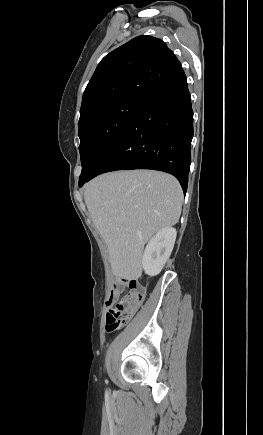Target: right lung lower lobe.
I'll return each instance as SVG.
<instances>
[{"mask_svg": "<svg viewBox=\"0 0 263 435\" xmlns=\"http://www.w3.org/2000/svg\"><path fill=\"white\" fill-rule=\"evenodd\" d=\"M193 111L187 78L180 71L139 108L95 176L115 170L153 169L174 175L187 190Z\"/></svg>", "mask_w": 263, "mask_h": 435, "instance_id": "1", "label": "right lung lower lobe"}]
</instances>
